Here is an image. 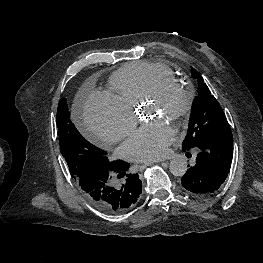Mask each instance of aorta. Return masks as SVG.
I'll use <instances>...</instances> for the list:
<instances>
[{"mask_svg":"<svg viewBox=\"0 0 263 263\" xmlns=\"http://www.w3.org/2000/svg\"><path fill=\"white\" fill-rule=\"evenodd\" d=\"M169 169L174 176L182 177L187 171V162L183 158H175L170 162Z\"/></svg>","mask_w":263,"mask_h":263,"instance_id":"aorta-1","label":"aorta"}]
</instances>
